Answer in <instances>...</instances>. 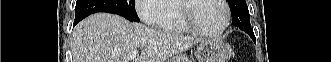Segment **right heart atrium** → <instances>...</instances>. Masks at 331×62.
Returning a JSON list of instances; mask_svg holds the SVG:
<instances>
[{"label":"right heart atrium","mask_w":331,"mask_h":62,"mask_svg":"<svg viewBox=\"0 0 331 62\" xmlns=\"http://www.w3.org/2000/svg\"><path fill=\"white\" fill-rule=\"evenodd\" d=\"M165 3V0H137L136 12L142 22L159 28L165 21V14L160 12Z\"/></svg>","instance_id":"1"}]
</instances>
